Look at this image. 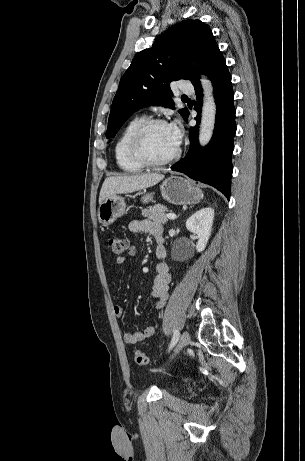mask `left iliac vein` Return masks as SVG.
I'll use <instances>...</instances> for the list:
<instances>
[{
  "instance_id": "4c4485c4",
  "label": "left iliac vein",
  "mask_w": 305,
  "mask_h": 461,
  "mask_svg": "<svg viewBox=\"0 0 305 461\" xmlns=\"http://www.w3.org/2000/svg\"><path fill=\"white\" fill-rule=\"evenodd\" d=\"M189 341H190V334L187 331H184L178 341V344L176 347V353L182 350L184 347H186Z\"/></svg>"
}]
</instances>
